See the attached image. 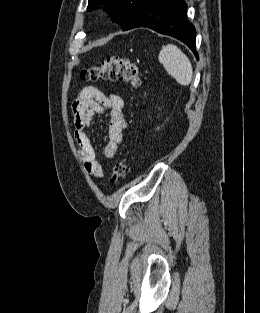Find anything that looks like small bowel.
<instances>
[{"label":"small bowel","mask_w":260,"mask_h":313,"mask_svg":"<svg viewBox=\"0 0 260 313\" xmlns=\"http://www.w3.org/2000/svg\"><path fill=\"white\" fill-rule=\"evenodd\" d=\"M108 108L111 110L108 137L109 141L104 149V155L113 159L121 144L127 123L124 115V101L118 95H106L98 87L85 86L72 103L74 119V136L78 146L81 161L86 172L96 178L104 176V169L96 159L94 147L87 129L94 116Z\"/></svg>","instance_id":"small-bowel-1"}]
</instances>
